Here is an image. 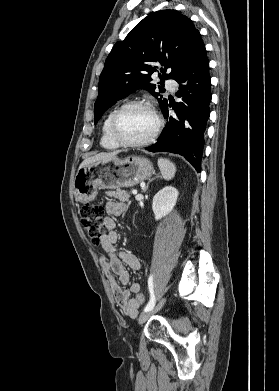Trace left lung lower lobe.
<instances>
[{"label":"left lung lower lobe","instance_id":"left-lung-lower-lobe-1","mask_svg":"<svg viewBox=\"0 0 279 391\" xmlns=\"http://www.w3.org/2000/svg\"><path fill=\"white\" fill-rule=\"evenodd\" d=\"M179 90L176 96L182 101L176 105L170 103L162 113L168 120L158 142L146 148L148 151H166L184 156L197 172L201 170V158L204 147V133L210 115L209 61L205 46L198 52L187 71L176 80ZM169 107L175 111L169 113Z\"/></svg>","mask_w":279,"mask_h":391}]
</instances>
